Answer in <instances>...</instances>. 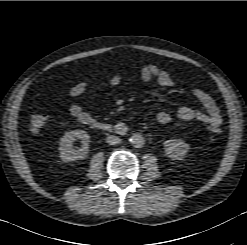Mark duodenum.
Segmentation results:
<instances>
[{"label":"duodenum","mask_w":247,"mask_h":245,"mask_svg":"<svg viewBox=\"0 0 247 245\" xmlns=\"http://www.w3.org/2000/svg\"><path fill=\"white\" fill-rule=\"evenodd\" d=\"M96 128L98 130L107 131V132L113 130L112 126L109 125V124H106V123L99 124V125L96 126Z\"/></svg>","instance_id":"410a0bca"}]
</instances>
